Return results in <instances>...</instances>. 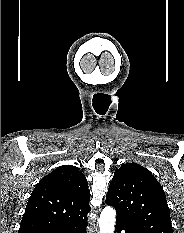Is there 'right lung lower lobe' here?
I'll list each match as a JSON object with an SVG mask.
<instances>
[{"label": "right lung lower lobe", "mask_w": 184, "mask_h": 233, "mask_svg": "<svg viewBox=\"0 0 184 233\" xmlns=\"http://www.w3.org/2000/svg\"><path fill=\"white\" fill-rule=\"evenodd\" d=\"M86 226L87 217L80 221L59 228H51L40 233H86Z\"/></svg>", "instance_id": "right-lung-lower-lobe-1"}]
</instances>
